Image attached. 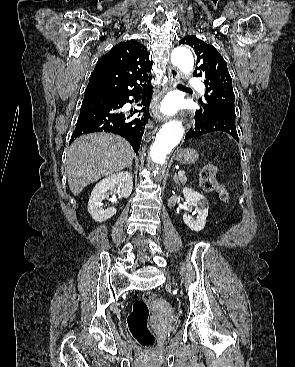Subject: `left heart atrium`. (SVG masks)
<instances>
[{"label":"left heart atrium","instance_id":"left-heart-atrium-1","mask_svg":"<svg viewBox=\"0 0 295 367\" xmlns=\"http://www.w3.org/2000/svg\"><path fill=\"white\" fill-rule=\"evenodd\" d=\"M161 109L166 114H174L179 109V102L174 97H168L162 103Z\"/></svg>","mask_w":295,"mask_h":367}]
</instances>
